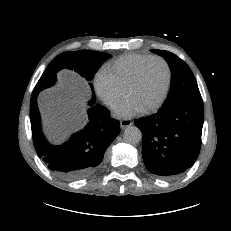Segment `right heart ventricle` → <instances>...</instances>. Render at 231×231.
<instances>
[{"instance_id": "1", "label": "right heart ventricle", "mask_w": 231, "mask_h": 231, "mask_svg": "<svg viewBox=\"0 0 231 231\" xmlns=\"http://www.w3.org/2000/svg\"><path fill=\"white\" fill-rule=\"evenodd\" d=\"M151 55L128 53L121 55L104 66V69L113 76L116 82L126 90L137 67Z\"/></svg>"}]
</instances>
